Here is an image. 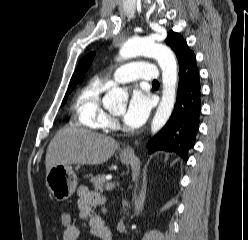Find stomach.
Instances as JSON below:
<instances>
[{
	"label": "stomach",
	"instance_id": "1",
	"mask_svg": "<svg viewBox=\"0 0 248 240\" xmlns=\"http://www.w3.org/2000/svg\"><path fill=\"white\" fill-rule=\"evenodd\" d=\"M133 155H120L124 164H130ZM46 186L57 201H64L71 197L77 187V176L70 165H56L46 174Z\"/></svg>",
	"mask_w": 248,
	"mask_h": 240
}]
</instances>
